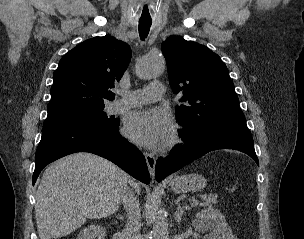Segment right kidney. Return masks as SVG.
<instances>
[{"instance_id": "obj_1", "label": "right kidney", "mask_w": 304, "mask_h": 239, "mask_svg": "<svg viewBox=\"0 0 304 239\" xmlns=\"http://www.w3.org/2000/svg\"><path fill=\"white\" fill-rule=\"evenodd\" d=\"M105 236V229L98 225H90L85 227L80 234L78 235L77 239H101Z\"/></svg>"}]
</instances>
